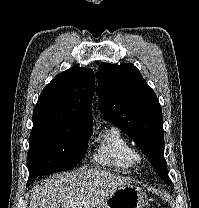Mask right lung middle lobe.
<instances>
[{
    "mask_svg": "<svg viewBox=\"0 0 199 208\" xmlns=\"http://www.w3.org/2000/svg\"><path fill=\"white\" fill-rule=\"evenodd\" d=\"M91 135V125L33 122L28 152V182L41 174L76 166L87 150Z\"/></svg>",
    "mask_w": 199,
    "mask_h": 208,
    "instance_id": "right-lung-middle-lobe-1",
    "label": "right lung middle lobe"
}]
</instances>
